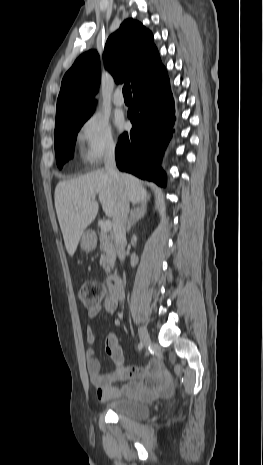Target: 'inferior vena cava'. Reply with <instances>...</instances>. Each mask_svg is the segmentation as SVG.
Masks as SVG:
<instances>
[{
	"instance_id": "inferior-vena-cava-1",
	"label": "inferior vena cava",
	"mask_w": 263,
	"mask_h": 465,
	"mask_svg": "<svg viewBox=\"0 0 263 465\" xmlns=\"http://www.w3.org/2000/svg\"><path fill=\"white\" fill-rule=\"evenodd\" d=\"M105 171L117 187V205L113 216V238L117 256L121 262L125 260L126 223L129 213V200L123 189L119 173L116 169L114 148H110L104 158Z\"/></svg>"
}]
</instances>
